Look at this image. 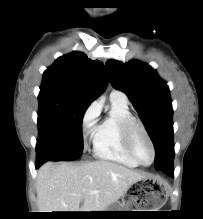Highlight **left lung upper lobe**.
Wrapping results in <instances>:
<instances>
[{"label":"left lung upper lobe","mask_w":203,"mask_h":219,"mask_svg":"<svg viewBox=\"0 0 203 219\" xmlns=\"http://www.w3.org/2000/svg\"><path fill=\"white\" fill-rule=\"evenodd\" d=\"M112 86L129 97L155 146L154 166L173 162V110L167 83L149 65L134 60L126 64L108 60Z\"/></svg>","instance_id":"obj_1"}]
</instances>
